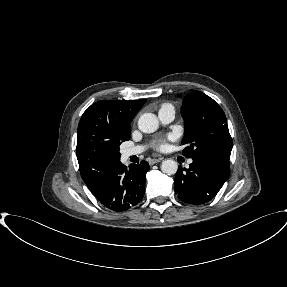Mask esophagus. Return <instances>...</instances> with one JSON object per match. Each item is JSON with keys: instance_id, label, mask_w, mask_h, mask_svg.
I'll use <instances>...</instances> for the list:
<instances>
[{"instance_id": "1", "label": "esophagus", "mask_w": 287, "mask_h": 287, "mask_svg": "<svg viewBox=\"0 0 287 287\" xmlns=\"http://www.w3.org/2000/svg\"><path fill=\"white\" fill-rule=\"evenodd\" d=\"M163 160V157L152 158L149 160V164L153 165Z\"/></svg>"}]
</instances>
